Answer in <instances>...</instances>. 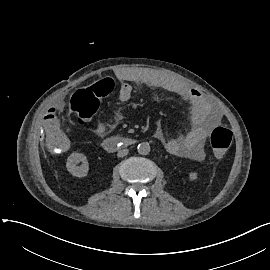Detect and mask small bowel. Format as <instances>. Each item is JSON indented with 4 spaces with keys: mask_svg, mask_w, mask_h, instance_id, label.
I'll return each instance as SVG.
<instances>
[{
    "mask_svg": "<svg viewBox=\"0 0 270 270\" xmlns=\"http://www.w3.org/2000/svg\"><path fill=\"white\" fill-rule=\"evenodd\" d=\"M118 78L121 81L119 99L127 102L132 96V87L128 82H139L150 87L163 89L172 92L186 100L192 107V128L183 135L167 139L162 128L158 127L155 137L165 144L166 149L175 155L190 157L195 161H202L205 158L204 141L210 130L221 121V114L214 107L210 100L205 98L200 91L180 84L176 80L163 74L160 71L149 68H133L119 72ZM60 113V100L51 96L47 100L45 112V128L47 131L46 144L53 153L61 151L62 146L71 149L75 145V139L68 133H62L57 123ZM120 119L115 116V121ZM109 127L104 123H98L93 132L98 136H104Z\"/></svg>",
    "mask_w": 270,
    "mask_h": 270,
    "instance_id": "obj_1",
    "label": "small bowel"
}]
</instances>
